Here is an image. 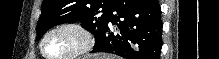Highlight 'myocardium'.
Instances as JSON below:
<instances>
[{
	"mask_svg": "<svg viewBox=\"0 0 219 59\" xmlns=\"http://www.w3.org/2000/svg\"><path fill=\"white\" fill-rule=\"evenodd\" d=\"M60 30H72L76 32L81 37V45L72 53L63 56V57H51L48 54H46L44 50V44L47 40V38L53 34L54 32L60 31ZM94 45V38L92 33L82 24L74 21L69 22H63L60 23L51 29H49L42 37L40 41V52L42 56L45 59H75L78 58L86 53H88Z\"/></svg>",
	"mask_w": 219,
	"mask_h": 59,
	"instance_id": "obj_1",
	"label": "myocardium"
}]
</instances>
